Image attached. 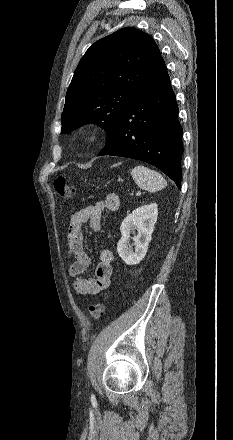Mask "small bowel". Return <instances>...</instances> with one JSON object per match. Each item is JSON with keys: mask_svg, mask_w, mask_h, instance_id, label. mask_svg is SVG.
Instances as JSON below:
<instances>
[{"mask_svg": "<svg viewBox=\"0 0 233 440\" xmlns=\"http://www.w3.org/2000/svg\"><path fill=\"white\" fill-rule=\"evenodd\" d=\"M119 204V196L111 193L95 205L83 208L71 217L67 236V253L73 261L69 266L68 274L73 279V288L78 294L96 295L110 285L114 255L108 249L100 252L95 275L89 278L83 277L91 263L90 257L84 250L83 227L89 224L95 232H98L104 212L117 210Z\"/></svg>", "mask_w": 233, "mask_h": 440, "instance_id": "c3829d8e", "label": "small bowel"}]
</instances>
